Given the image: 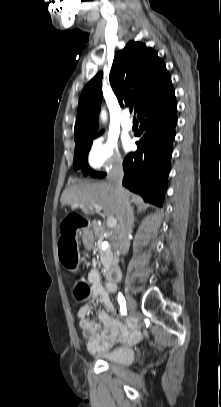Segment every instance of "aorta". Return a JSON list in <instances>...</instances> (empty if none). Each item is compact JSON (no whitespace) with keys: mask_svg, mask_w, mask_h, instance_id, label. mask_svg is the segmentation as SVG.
I'll use <instances>...</instances> for the list:
<instances>
[{"mask_svg":"<svg viewBox=\"0 0 221 407\" xmlns=\"http://www.w3.org/2000/svg\"><path fill=\"white\" fill-rule=\"evenodd\" d=\"M101 117H102L103 119H105V118H106V114H105V112H102Z\"/></svg>","mask_w":221,"mask_h":407,"instance_id":"1","label":"aorta"}]
</instances>
